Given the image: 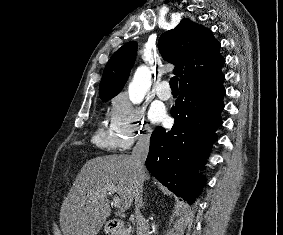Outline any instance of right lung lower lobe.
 Here are the masks:
<instances>
[{"label": "right lung lower lobe", "instance_id": "right-lung-lower-lobe-1", "mask_svg": "<svg viewBox=\"0 0 283 235\" xmlns=\"http://www.w3.org/2000/svg\"><path fill=\"white\" fill-rule=\"evenodd\" d=\"M224 75L220 71L208 77L180 85V95L171 109L175 124L171 131L157 128L151 135L146 167L170 191L194 203L205 184L204 169L216 130L222 124Z\"/></svg>", "mask_w": 283, "mask_h": 235}]
</instances>
